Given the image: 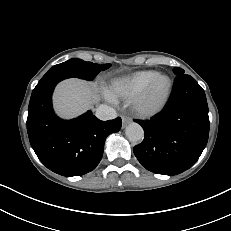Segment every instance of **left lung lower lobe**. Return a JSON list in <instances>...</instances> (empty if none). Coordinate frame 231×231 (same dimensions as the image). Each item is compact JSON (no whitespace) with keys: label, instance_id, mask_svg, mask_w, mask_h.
Returning <instances> with one entry per match:
<instances>
[{"label":"left lung lower lobe","instance_id":"obj_1","mask_svg":"<svg viewBox=\"0 0 231 231\" xmlns=\"http://www.w3.org/2000/svg\"><path fill=\"white\" fill-rule=\"evenodd\" d=\"M144 129L134 154L147 170L176 175L192 167L209 136L205 92L190 75H178L164 109L148 121L136 120Z\"/></svg>","mask_w":231,"mask_h":231}]
</instances>
